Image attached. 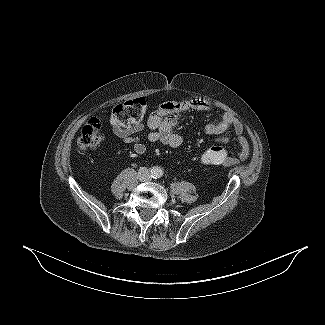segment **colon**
<instances>
[{"mask_svg": "<svg viewBox=\"0 0 325 325\" xmlns=\"http://www.w3.org/2000/svg\"><path fill=\"white\" fill-rule=\"evenodd\" d=\"M148 107L144 98H135L125 103L116 105L110 117V124L127 128L141 123L146 117ZM102 120L90 119L81 129L77 147L81 152L95 149L102 140ZM201 163L207 166L222 165L229 162L227 151L222 146H213L206 149L201 155Z\"/></svg>", "mask_w": 325, "mask_h": 325, "instance_id": "1", "label": "colon"}]
</instances>
